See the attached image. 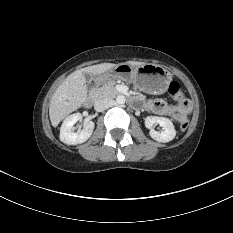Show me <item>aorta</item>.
Returning a JSON list of instances; mask_svg holds the SVG:
<instances>
[{"instance_id":"aorta-1","label":"aorta","mask_w":233,"mask_h":233,"mask_svg":"<svg viewBox=\"0 0 233 233\" xmlns=\"http://www.w3.org/2000/svg\"><path fill=\"white\" fill-rule=\"evenodd\" d=\"M125 101H126V98L123 95H119V96L116 97V103L119 104V105L124 104Z\"/></svg>"}]
</instances>
